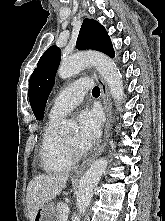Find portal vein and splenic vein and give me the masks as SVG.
Returning a JSON list of instances; mask_svg holds the SVG:
<instances>
[{
    "label": "portal vein and splenic vein",
    "instance_id": "1",
    "mask_svg": "<svg viewBox=\"0 0 165 221\" xmlns=\"http://www.w3.org/2000/svg\"><path fill=\"white\" fill-rule=\"evenodd\" d=\"M63 211H62V221H67L68 214H69V208L66 204L62 205Z\"/></svg>",
    "mask_w": 165,
    "mask_h": 221
}]
</instances>
